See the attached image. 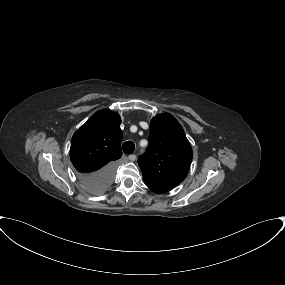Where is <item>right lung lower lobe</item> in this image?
Here are the masks:
<instances>
[{
  "label": "right lung lower lobe",
  "instance_id": "98d812e1",
  "mask_svg": "<svg viewBox=\"0 0 285 285\" xmlns=\"http://www.w3.org/2000/svg\"><path fill=\"white\" fill-rule=\"evenodd\" d=\"M116 167L117 162H113L96 172L90 174H79V179L88 191L102 192L112 183Z\"/></svg>",
  "mask_w": 285,
  "mask_h": 285
}]
</instances>
